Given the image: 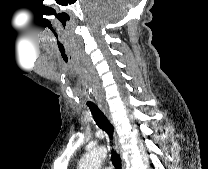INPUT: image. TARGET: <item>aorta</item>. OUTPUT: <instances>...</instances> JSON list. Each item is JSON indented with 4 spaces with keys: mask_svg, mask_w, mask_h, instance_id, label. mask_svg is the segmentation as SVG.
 <instances>
[{
    "mask_svg": "<svg viewBox=\"0 0 208 169\" xmlns=\"http://www.w3.org/2000/svg\"><path fill=\"white\" fill-rule=\"evenodd\" d=\"M106 148L98 147L86 153L79 162L78 169H100L102 161L106 157Z\"/></svg>",
    "mask_w": 208,
    "mask_h": 169,
    "instance_id": "1",
    "label": "aorta"
}]
</instances>
